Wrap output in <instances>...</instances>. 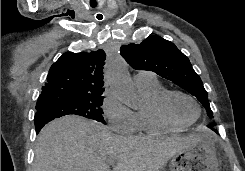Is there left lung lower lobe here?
<instances>
[{
    "mask_svg": "<svg viewBox=\"0 0 245 171\" xmlns=\"http://www.w3.org/2000/svg\"><path fill=\"white\" fill-rule=\"evenodd\" d=\"M212 130L215 131L216 133H218L217 130H215V129H212Z\"/></svg>",
    "mask_w": 245,
    "mask_h": 171,
    "instance_id": "left-lung-lower-lobe-1",
    "label": "left lung lower lobe"
}]
</instances>
